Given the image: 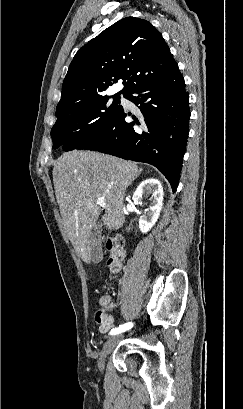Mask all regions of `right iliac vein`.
I'll list each match as a JSON object with an SVG mask.
<instances>
[{"label":"right iliac vein","instance_id":"1","mask_svg":"<svg viewBox=\"0 0 243 409\" xmlns=\"http://www.w3.org/2000/svg\"><path fill=\"white\" fill-rule=\"evenodd\" d=\"M121 338H122V335L111 336L107 340V342L104 344L100 357H99V361H98V367L100 370L104 368L105 358L107 357L108 354L111 353V351L113 350V348L116 346V344Z\"/></svg>","mask_w":243,"mask_h":409}]
</instances>
